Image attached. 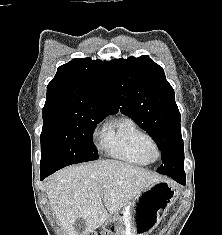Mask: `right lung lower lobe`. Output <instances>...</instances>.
<instances>
[{"label": "right lung lower lobe", "mask_w": 222, "mask_h": 235, "mask_svg": "<svg viewBox=\"0 0 222 235\" xmlns=\"http://www.w3.org/2000/svg\"><path fill=\"white\" fill-rule=\"evenodd\" d=\"M55 171H47V172H41L40 174V179L41 181L46 178L47 176L51 175L52 173H54Z\"/></svg>", "instance_id": "1"}]
</instances>
